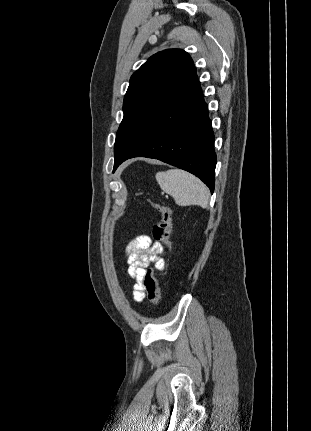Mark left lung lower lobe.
I'll use <instances>...</instances> for the list:
<instances>
[{
    "label": "left lung lower lobe",
    "mask_w": 311,
    "mask_h": 431,
    "mask_svg": "<svg viewBox=\"0 0 311 431\" xmlns=\"http://www.w3.org/2000/svg\"><path fill=\"white\" fill-rule=\"evenodd\" d=\"M133 157L155 158L186 170L213 193L214 134L197 75L164 104L123 154L115 156L114 171Z\"/></svg>",
    "instance_id": "left-lung-lower-lobe-1"
}]
</instances>
